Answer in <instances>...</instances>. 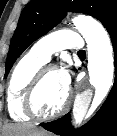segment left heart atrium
<instances>
[{"label":"left heart atrium","instance_id":"obj_1","mask_svg":"<svg viewBox=\"0 0 117 136\" xmlns=\"http://www.w3.org/2000/svg\"><path fill=\"white\" fill-rule=\"evenodd\" d=\"M58 76L61 85L68 90L70 84H71V74L68 68H61L58 70Z\"/></svg>","mask_w":117,"mask_h":136}]
</instances>
